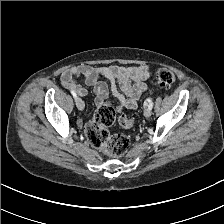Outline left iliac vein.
<instances>
[{"label":"left iliac vein","mask_w":224,"mask_h":224,"mask_svg":"<svg viewBox=\"0 0 224 224\" xmlns=\"http://www.w3.org/2000/svg\"><path fill=\"white\" fill-rule=\"evenodd\" d=\"M152 114V109L148 106L147 108H145L144 110V116L145 117H149Z\"/></svg>","instance_id":"left-iliac-vein-1"}]
</instances>
